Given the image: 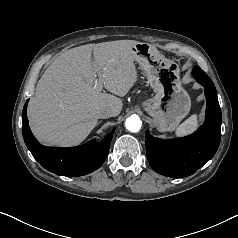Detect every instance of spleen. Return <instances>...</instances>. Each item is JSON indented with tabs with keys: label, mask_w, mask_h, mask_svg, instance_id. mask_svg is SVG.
<instances>
[{
	"label": "spleen",
	"mask_w": 238,
	"mask_h": 238,
	"mask_svg": "<svg viewBox=\"0 0 238 238\" xmlns=\"http://www.w3.org/2000/svg\"><path fill=\"white\" fill-rule=\"evenodd\" d=\"M198 127V117L196 114L190 116L183 123H181L176 129V136L183 137L188 134H191Z\"/></svg>",
	"instance_id": "1"
}]
</instances>
